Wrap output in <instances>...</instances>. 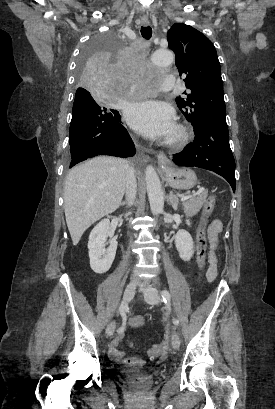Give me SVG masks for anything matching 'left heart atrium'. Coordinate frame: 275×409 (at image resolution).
I'll list each match as a JSON object with an SVG mask.
<instances>
[{"label": "left heart atrium", "mask_w": 275, "mask_h": 409, "mask_svg": "<svg viewBox=\"0 0 275 409\" xmlns=\"http://www.w3.org/2000/svg\"><path fill=\"white\" fill-rule=\"evenodd\" d=\"M128 123L147 137L168 135L173 129V109L155 100H140L126 106Z\"/></svg>", "instance_id": "39dd6f15"}]
</instances>
